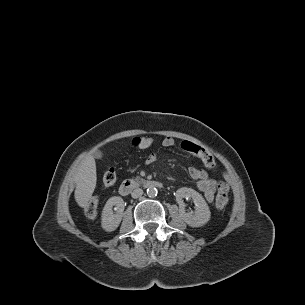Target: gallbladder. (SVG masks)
<instances>
[{"label": "gallbladder", "instance_id": "bac80fb5", "mask_svg": "<svg viewBox=\"0 0 305 305\" xmlns=\"http://www.w3.org/2000/svg\"><path fill=\"white\" fill-rule=\"evenodd\" d=\"M93 157L96 158V159H101V158L103 157L102 151L96 150V151L93 153Z\"/></svg>", "mask_w": 305, "mask_h": 305}]
</instances>
